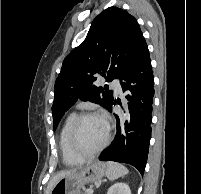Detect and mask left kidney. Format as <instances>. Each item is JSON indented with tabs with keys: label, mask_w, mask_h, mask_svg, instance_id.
I'll return each instance as SVG.
<instances>
[{
	"label": "left kidney",
	"mask_w": 201,
	"mask_h": 194,
	"mask_svg": "<svg viewBox=\"0 0 201 194\" xmlns=\"http://www.w3.org/2000/svg\"><path fill=\"white\" fill-rule=\"evenodd\" d=\"M107 194H131V190L126 183L119 182L112 185Z\"/></svg>",
	"instance_id": "5707ae66"
}]
</instances>
